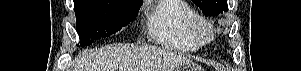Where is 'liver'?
Wrapping results in <instances>:
<instances>
[{"label": "liver", "mask_w": 301, "mask_h": 71, "mask_svg": "<svg viewBox=\"0 0 301 71\" xmlns=\"http://www.w3.org/2000/svg\"><path fill=\"white\" fill-rule=\"evenodd\" d=\"M190 61L156 47L112 44L80 52L74 71H175Z\"/></svg>", "instance_id": "6515ba94"}]
</instances>
